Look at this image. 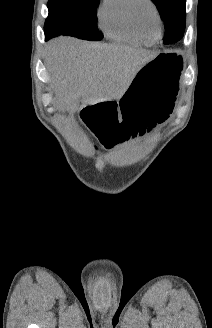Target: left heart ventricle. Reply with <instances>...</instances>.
Masks as SVG:
<instances>
[{"instance_id":"left-heart-ventricle-1","label":"left heart ventricle","mask_w":212,"mask_h":328,"mask_svg":"<svg viewBox=\"0 0 212 328\" xmlns=\"http://www.w3.org/2000/svg\"><path fill=\"white\" fill-rule=\"evenodd\" d=\"M137 17L145 32L149 34L156 33L157 22L150 6L144 3L140 4L137 8Z\"/></svg>"}]
</instances>
